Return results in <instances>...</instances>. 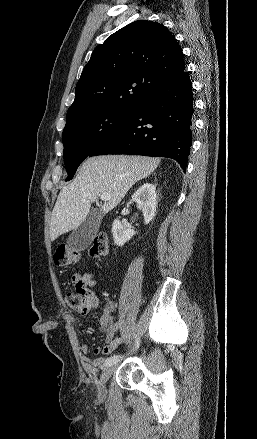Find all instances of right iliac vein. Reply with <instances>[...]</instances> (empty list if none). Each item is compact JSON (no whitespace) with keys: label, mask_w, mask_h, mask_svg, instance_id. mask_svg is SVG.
Instances as JSON below:
<instances>
[{"label":"right iliac vein","mask_w":257,"mask_h":439,"mask_svg":"<svg viewBox=\"0 0 257 439\" xmlns=\"http://www.w3.org/2000/svg\"><path fill=\"white\" fill-rule=\"evenodd\" d=\"M116 363L112 364L110 366H106L103 369V372L101 374V378H100V382L98 385V398L99 399H104L106 397V388H105V384L106 382L109 380V378L111 377L115 367H116Z\"/></svg>","instance_id":"right-iliac-vein-1"}]
</instances>
